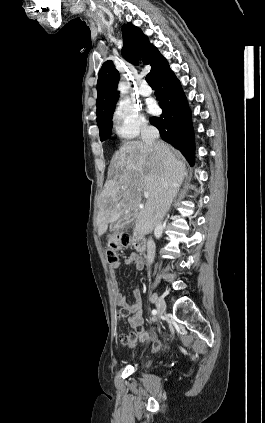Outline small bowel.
I'll use <instances>...</instances> for the list:
<instances>
[{
	"label": "small bowel",
	"mask_w": 265,
	"mask_h": 423,
	"mask_svg": "<svg viewBox=\"0 0 265 423\" xmlns=\"http://www.w3.org/2000/svg\"><path fill=\"white\" fill-rule=\"evenodd\" d=\"M125 264H134L135 268L140 270L143 267V260L139 255L133 253L124 261H118L109 266V275L111 278L112 293L115 304L120 309V316L126 319L133 329V331L128 335H121L120 342L123 345L133 346L139 339H152L154 342V349L159 350L163 345L162 341L158 338H154L143 329L144 316L139 287H135L133 289V303H129L127 297L124 296L119 289L116 272Z\"/></svg>",
	"instance_id": "1"
}]
</instances>
